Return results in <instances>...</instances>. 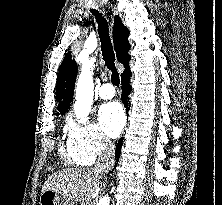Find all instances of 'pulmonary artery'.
<instances>
[{
	"mask_svg": "<svg viewBox=\"0 0 222 205\" xmlns=\"http://www.w3.org/2000/svg\"><path fill=\"white\" fill-rule=\"evenodd\" d=\"M98 94L102 99H111L115 96V89L112 84L104 83L100 86Z\"/></svg>",
	"mask_w": 222,
	"mask_h": 205,
	"instance_id": "e3ab8cb5",
	"label": "pulmonary artery"
}]
</instances>
